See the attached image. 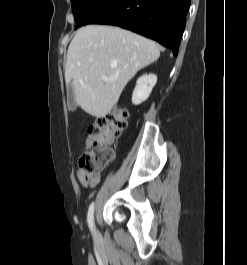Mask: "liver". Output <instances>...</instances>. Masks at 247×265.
I'll use <instances>...</instances> for the list:
<instances>
[{"instance_id":"obj_1","label":"liver","mask_w":247,"mask_h":265,"mask_svg":"<svg viewBox=\"0 0 247 265\" xmlns=\"http://www.w3.org/2000/svg\"><path fill=\"white\" fill-rule=\"evenodd\" d=\"M159 56L156 43L145 37L119 27L88 25L77 31L68 47L65 82L78 106L94 117H104L128 81Z\"/></svg>"}]
</instances>
